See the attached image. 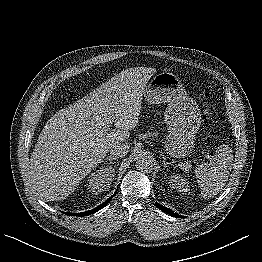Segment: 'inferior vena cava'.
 Instances as JSON below:
<instances>
[{"mask_svg": "<svg viewBox=\"0 0 262 262\" xmlns=\"http://www.w3.org/2000/svg\"><path fill=\"white\" fill-rule=\"evenodd\" d=\"M130 149V144L127 141H120L115 144H113L110 147V154L113 157L120 158L127 155Z\"/></svg>", "mask_w": 262, "mask_h": 262, "instance_id": "602c4592", "label": "inferior vena cava"}]
</instances>
